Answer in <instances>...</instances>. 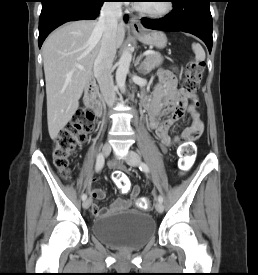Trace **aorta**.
<instances>
[{
	"mask_svg": "<svg viewBox=\"0 0 258 275\" xmlns=\"http://www.w3.org/2000/svg\"><path fill=\"white\" fill-rule=\"evenodd\" d=\"M131 60L132 54L127 49L123 52L118 62V68L116 70V82L117 86L123 91L125 90L126 76L129 72Z\"/></svg>",
	"mask_w": 258,
	"mask_h": 275,
	"instance_id": "aorta-1",
	"label": "aorta"
}]
</instances>
